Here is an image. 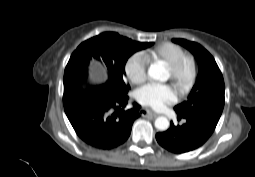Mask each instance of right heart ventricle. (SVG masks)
Instances as JSON below:
<instances>
[{"mask_svg": "<svg viewBox=\"0 0 255 177\" xmlns=\"http://www.w3.org/2000/svg\"><path fill=\"white\" fill-rule=\"evenodd\" d=\"M185 51L183 48L177 44L165 42L162 43L152 50L145 53L147 59H154L156 61H161L164 64H169L183 55Z\"/></svg>", "mask_w": 255, "mask_h": 177, "instance_id": "obj_1", "label": "right heart ventricle"}]
</instances>
